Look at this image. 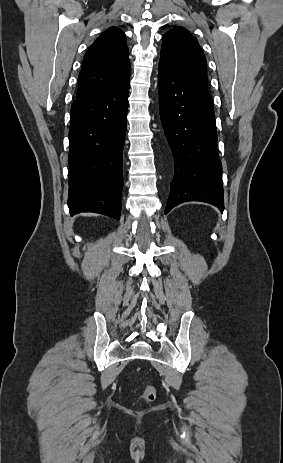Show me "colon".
<instances>
[{
  "label": "colon",
  "mask_w": 283,
  "mask_h": 463,
  "mask_svg": "<svg viewBox=\"0 0 283 463\" xmlns=\"http://www.w3.org/2000/svg\"><path fill=\"white\" fill-rule=\"evenodd\" d=\"M156 398V390L152 385H147L143 391L142 399L146 402H152Z\"/></svg>",
  "instance_id": "obj_1"
}]
</instances>
